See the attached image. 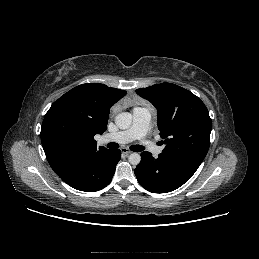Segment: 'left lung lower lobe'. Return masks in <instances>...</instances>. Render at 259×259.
<instances>
[{
  "instance_id": "0a47b994",
  "label": "left lung lower lobe",
  "mask_w": 259,
  "mask_h": 259,
  "mask_svg": "<svg viewBox=\"0 0 259 259\" xmlns=\"http://www.w3.org/2000/svg\"><path fill=\"white\" fill-rule=\"evenodd\" d=\"M201 162L173 155L159 154L158 158L145 151L135 169L140 185L152 193L176 190L196 172Z\"/></svg>"
}]
</instances>
